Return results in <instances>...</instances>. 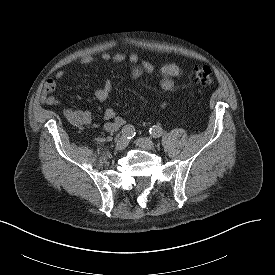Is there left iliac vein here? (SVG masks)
Here are the masks:
<instances>
[{"mask_svg": "<svg viewBox=\"0 0 275 275\" xmlns=\"http://www.w3.org/2000/svg\"><path fill=\"white\" fill-rule=\"evenodd\" d=\"M136 145L144 150H154L155 149L154 142L149 138H138L136 140Z\"/></svg>", "mask_w": 275, "mask_h": 275, "instance_id": "1", "label": "left iliac vein"}]
</instances>
